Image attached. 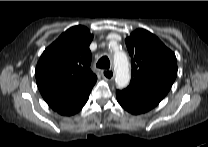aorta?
I'll return each mask as SVG.
<instances>
[{
  "mask_svg": "<svg viewBox=\"0 0 208 147\" xmlns=\"http://www.w3.org/2000/svg\"><path fill=\"white\" fill-rule=\"evenodd\" d=\"M115 81L118 88H124L129 84L130 72L127 55L123 51L114 53Z\"/></svg>",
  "mask_w": 208,
  "mask_h": 147,
  "instance_id": "762f6f07",
  "label": "aorta"
}]
</instances>
